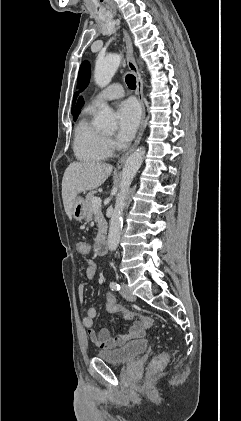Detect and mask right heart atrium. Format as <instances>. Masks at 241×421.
Returning <instances> with one entry per match:
<instances>
[{"label": "right heart atrium", "instance_id": "d8ad5b80", "mask_svg": "<svg viewBox=\"0 0 241 421\" xmlns=\"http://www.w3.org/2000/svg\"><path fill=\"white\" fill-rule=\"evenodd\" d=\"M109 147L112 149L114 147V142L111 139H107Z\"/></svg>", "mask_w": 241, "mask_h": 421}]
</instances>
